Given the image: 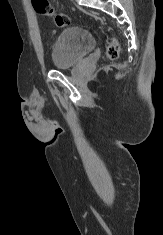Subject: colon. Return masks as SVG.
Segmentation results:
<instances>
[{
    "label": "colon",
    "instance_id": "5ec220e1",
    "mask_svg": "<svg viewBox=\"0 0 163 235\" xmlns=\"http://www.w3.org/2000/svg\"><path fill=\"white\" fill-rule=\"evenodd\" d=\"M32 5L38 14L51 17L57 27H65L70 23L69 17L57 12L48 0H32ZM106 55L110 59L118 57L119 45L116 39L113 38L110 40L106 49Z\"/></svg>",
    "mask_w": 163,
    "mask_h": 235
}]
</instances>
